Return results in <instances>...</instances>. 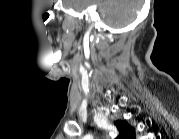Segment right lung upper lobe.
<instances>
[{
  "label": "right lung upper lobe",
  "instance_id": "1",
  "mask_svg": "<svg viewBox=\"0 0 179 139\" xmlns=\"http://www.w3.org/2000/svg\"><path fill=\"white\" fill-rule=\"evenodd\" d=\"M115 125L120 131L119 139H135V131L126 121H116Z\"/></svg>",
  "mask_w": 179,
  "mask_h": 139
}]
</instances>
